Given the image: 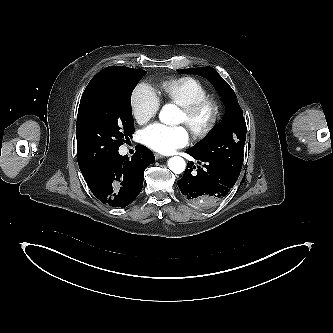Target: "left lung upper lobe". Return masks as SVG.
Segmentation results:
<instances>
[{
  "instance_id": "left-lung-upper-lobe-1",
  "label": "left lung upper lobe",
  "mask_w": 333,
  "mask_h": 333,
  "mask_svg": "<svg viewBox=\"0 0 333 333\" xmlns=\"http://www.w3.org/2000/svg\"><path fill=\"white\" fill-rule=\"evenodd\" d=\"M177 71L200 75L208 79L220 93L227 108L223 125L215 130L207 140L191 150L198 156L221 166L228 173L239 177L246 141V123L235 92L212 67Z\"/></svg>"
}]
</instances>
